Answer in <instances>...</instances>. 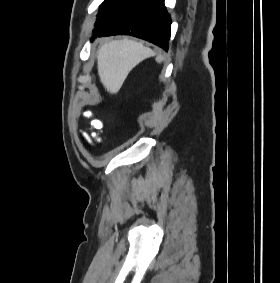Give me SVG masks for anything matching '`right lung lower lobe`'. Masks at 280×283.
<instances>
[{
  "label": "right lung lower lobe",
  "instance_id": "1",
  "mask_svg": "<svg viewBox=\"0 0 280 283\" xmlns=\"http://www.w3.org/2000/svg\"><path fill=\"white\" fill-rule=\"evenodd\" d=\"M170 26L171 18L164 6V0H140L110 18L95 31L94 38L131 35L167 50Z\"/></svg>",
  "mask_w": 280,
  "mask_h": 283
}]
</instances>
